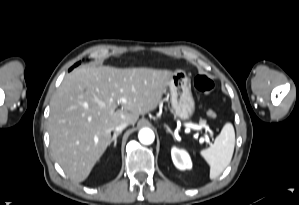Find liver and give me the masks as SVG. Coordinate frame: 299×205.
Listing matches in <instances>:
<instances>
[{
    "label": "liver",
    "mask_w": 299,
    "mask_h": 205,
    "mask_svg": "<svg viewBox=\"0 0 299 205\" xmlns=\"http://www.w3.org/2000/svg\"><path fill=\"white\" fill-rule=\"evenodd\" d=\"M172 76L168 70L88 65L67 74L51 99L48 120L51 150L66 175L84 181L115 127L134 125L156 109Z\"/></svg>",
    "instance_id": "liver-1"
}]
</instances>
